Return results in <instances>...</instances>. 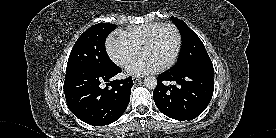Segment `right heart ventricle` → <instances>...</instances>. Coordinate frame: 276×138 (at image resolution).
Here are the masks:
<instances>
[{
    "label": "right heart ventricle",
    "instance_id": "obj_1",
    "mask_svg": "<svg viewBox=\"0 0 276 138\" xmlns=\"http://www.w3.org/2000/svg\"><path fill=\"white\" fill-rule=\"evenodd\" d=\"M161 24L162 23L160 22H151L131 26L125 30L120 31L119 35L130 41L137 49H140L145 40Z\"/></svg>",
    "mask_w": 276,
    "mask_h": 138
}]
</instances>
